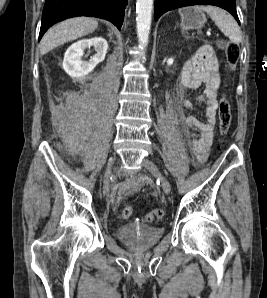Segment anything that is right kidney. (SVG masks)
Instances as JSON below:
<instances>
[{
	"label": "right kidney",
	"mask_w": 267,
	"mask_h": 298,
	"mask_svg": "<svg viewBox=\"0 0 267 298\" xmlns=\"http://www.w3.org/2000/svg\"><path fill=\"white\" fill-rule=\"evenodd\" d=\"M93 47L96 54L89 61L82 59L84 50ZM108 49V43L103 37H94L91 39H82L73 43L65 52L63 60V69L74 78H80L88 75L98 63L105 59Z\"/></svg>",
	"instance_id": "ca27d5eb"
}]
</instances>
